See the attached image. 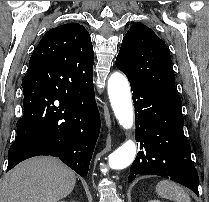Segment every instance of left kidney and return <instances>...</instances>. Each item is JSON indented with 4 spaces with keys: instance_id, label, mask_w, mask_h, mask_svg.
<instances>
[{
    "instance_id": "5707ae66",
    "label": "left kidney",
    "mask_w": 209,
    "mask_h": 202,
    "mask_svg": "<svg viewBox=\"0 0 209 202\" xmlns=\"http://www.w3.org/2000/svg\"><path fill=\"white\" fill-rule=\"evenodd\" d=\"M148 202H161L160 200H149Z\"/></svg>"
}]
</instances>
